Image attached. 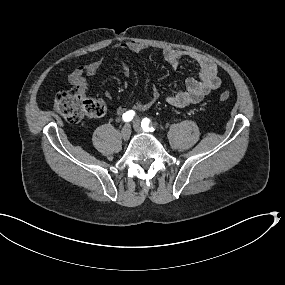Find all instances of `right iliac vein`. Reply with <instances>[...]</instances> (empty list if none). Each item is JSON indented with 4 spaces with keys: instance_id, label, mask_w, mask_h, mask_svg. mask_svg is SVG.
<instances>
[{
    "instance_id": "right-iliac-vein-1",
    "label": "right iliac vein",
    "mask_w": 285,
    "mask_h": 285,
    "mask_svg": "<svg viewBox=\"0 0 285 285\" xmlns=\"http://www.w3.org/2000/svg\"><path fill=\"white\" fill-rule=\"evenodd\" d=\"M131 136V127L129 125H125L121 130V137L123 140H129Z\"/></svg>"
}]
</instances>
